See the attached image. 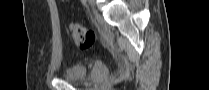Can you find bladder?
<instances>
[{"label": "bladder", "mask_w": 209, "mask_h": 90, "mask_svg": "<svg viewBox=\"0 0 209 90\" xmlns=\"http://www.w3.org/2000/svg\"><path fill=\"white\" fill-rule=\"evenodd\" d=\"M87 76V69L81 64H72L65 68L64 78L70 81L83 79Z\"/></svg>", "instance_id": "obj_1"}]
</instances>
